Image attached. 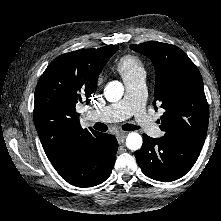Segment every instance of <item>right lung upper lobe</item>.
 Returning a JSON list of instances; mask_svg holds the SVG:
<instances>
[{"label": "right lung upper lobe", "mask_w": 221, "mask_h": 221, "mask_svg": "<svg viewBox=\"0 0 221 221\" xmlns=\"http://www.w3.org/2000/svg\"><path fill=\"white\" fill-rule=\"evenodd\" d=\"M117 50V45H108L65 53L54 59L40 77L33 118L51 162L72 146L88 143L98 133L81 127L75 106L90 102L102 68Z\"/></svg>", "instance_id": "right-lung-upper-lobe-1"}]
</instances>
